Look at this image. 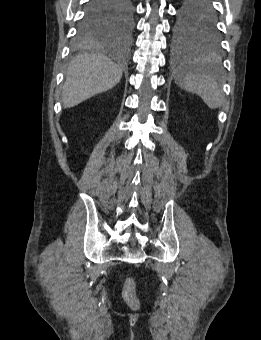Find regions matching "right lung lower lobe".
<instances>
[{"label":"right lung lower lobe","instance_id":"98d812e1","mask_svg":"<svg viewBox=\"0 0 261 340\" xmlns=\"http://www.w3.org/2000/svg\"><path fill=\"white\" fill-rule=\"evenodd\" d=\"M125 1L126 0H90L84 17H93L101 14L116 16L124 9Z\"/></svg>","mask_w":261,"mask_h":340}]
</instances>
